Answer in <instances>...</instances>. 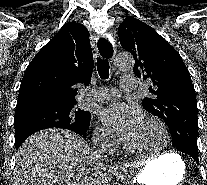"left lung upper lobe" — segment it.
Returning <instances> with one entry per match:
<instances>
[{"label": "left lung upper lobe", "instance_id": "left-lung-upper-lobe-1", "mask_svg": "<svg viewBox=\"0 0 207 185\" xmlns=\"http://www.w3.org/2000/svg\"><path fill=\"white\" fill-rule=\"evenodd\" d=\"M118 35L123 49L134 56L135 75L151 83L143 108L164 120L174 148L198 153L195 89L180 54L152 27L134 17L124 19Z\"/></svg>", "mask_w": 207, "mask_h": 185}]
</instances>
